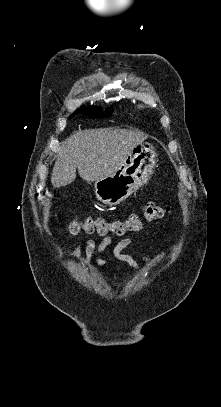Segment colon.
<instances>
[{
	"label": "colon",
	"instance_id": "obj_1",
	"mask_svg": "<svg viewBox=\"0 0 221 407\" xmlns=\"http://www.w3.org/2000/svg\"><path fill=\"white\" fill-rule=\"evenodd\" d=\"M169 213V207L163 204L150 203L143 211L142 217L153 221L164 217ZM142 227L141 216L130 214L123 220L107 221L103 218H87L81 222L74 220L68 225L69 231L76 235L81 231L89 234L105 235L107 233H114L116 235H124L132 231H140Z\"/></svg>",
	"mask_w": 221,
	"mask_h": 407
}]
</instances>
